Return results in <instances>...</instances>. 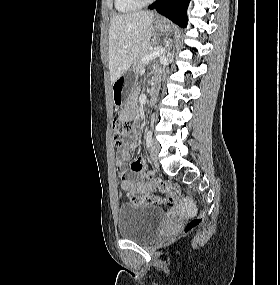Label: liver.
<instances>
[{
  "label": "liver",
  "mask_w": 280,
  "mask_h": 285,
  "mask_svg": "<svg viewBox=\"0 0 280 285\" xmlns=\"http://www.w3.org/2000/svg\"><path fill=\"white\" fill-rule=\"evenodd\" d=\"M154 14L135 11L112 17L109 28V71L113 84L149 45Z\"/></svg>",
  "instance_id": "liver-1"
}]
</instances>
